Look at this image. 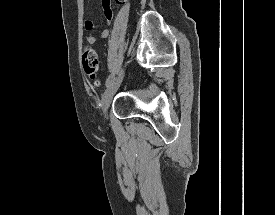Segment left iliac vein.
<instances>
[{
	"label": "left iliac vein",
	"instance_id": "4c4485c4",
	"mask_svg": "<svg viewBox=\"0 0 275 215\" xmlns=\"http://www.w3.org/2000/svg\"><path fill=\"white\" fill-rule=\"evenodd\" d=\"M123 77H124V71H121L118 77L112 81V83L109 85V87H107L106 91L102 95V100H101L102 110L106 118H107L108 107L112 101L114 94L118 90L123 80Z\"/></svg>",
	"mask_w": 275,
	"mask_h": 215
}]
</instances>
